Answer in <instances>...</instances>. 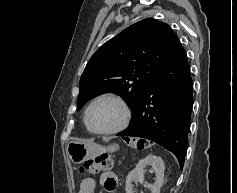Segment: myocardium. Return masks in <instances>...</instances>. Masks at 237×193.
Returning <instances> with one entry per match:
<instances>
[{
	"instance_id": "myocardium-1",
	"label": "myocardium",
	"mask_w": 237,
	"mask_h": 193,
	"mask_svg": "<svg viewBox=\"0 0 237 193\" xmlns=\"http://www.w3.org/2000/svg\"><path fill=\"white\" fill-rule=\"evenodd\" d=\"M102 100H112V101L116 102L121 107V109L123 111V118H122V121L120 122V124L112 129H109V130H97L90 123V111H91L92 107L96 103H98L99 101H102ZM131 118H132V112H131V109L128 106V104L120 96L111 94V93L102 94V95L96 97L93 101H91V103L88 105V107L85 111L86 126L88 127V129L91 132L98 134V135H113V134L122 132L129 126V124L131 122Z\"/></svg>"
}]
</instances>
